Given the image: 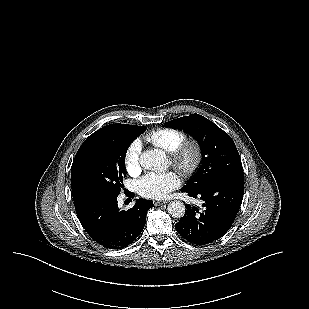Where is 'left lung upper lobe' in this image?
Masks as SVG:
<instances>
[{"mask_svg": "<svg viewBox=\"0 0 309 309\" xmlns=\"http://www.w3.org/2000/svg\"><path fill=\"white\" fill-rule=\"evenodd\" d=\"M164 126L192 135L201 147L202 165L183 189L195 190L224 177L243 175L240 156L232 138L212 121L192 114L166 122Z\"/></svg>", "mask_w": 309, "mask_h": 309, "instance_id": "1", "label": "left lung upper lobe"}]
</instances>
